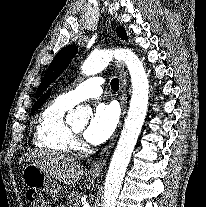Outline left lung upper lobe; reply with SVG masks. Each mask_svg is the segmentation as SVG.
<instances>
[{
    "label": "left lung upper lobe",
    "instance_id": "obj_1",
    "mask_svg": "<svg viewBox=\"0 0 206 207\" xmlns=\"http://www.w3.org/2000/svg\"><path fill=\"white\" fill-rule=\"evenodd\" d=\"M117 34L120 38L126 39V32L122 27L117 29ZM78 47L70 45L60 50L53 61L49 65L45 76L37 89L36 97H38L49 85L53 82L68 66L71 59L76 55Z\"/></svg>",
    "mask_w": 206,
    "mask_h": 207
}]
</instances>
